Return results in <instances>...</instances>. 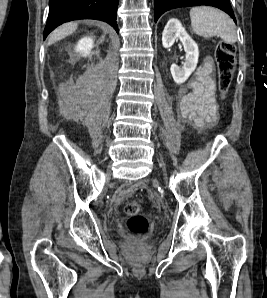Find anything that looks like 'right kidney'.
I'll use <instances>...</instances> for the list:
<instances>
[{"instance_id":"right-kidney-1","label":"right kidney","mask_w":267,"mask_h":298,"mask_svg":"<svg viewBox=\"0 0 267 298\" xmlns=\"http://www.w3.org/2000/svg\"><path fill=\"white\" fill-rule=\"evenodd\" d=\"M94 46V39L92 37H84L80 39L76 45V51L87 56L91 53V50Z\"/></svg>"}]
</instances>
